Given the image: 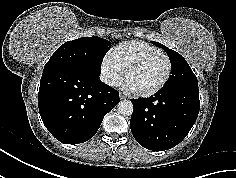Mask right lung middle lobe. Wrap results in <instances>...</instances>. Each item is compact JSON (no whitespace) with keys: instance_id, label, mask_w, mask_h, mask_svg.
<instances>
[{"instance_id":"1","label":"right lung middle lobe","mask_w":236,"mask_h":178,"mask_svg":"<svg viewBox=\"0 0 236 178\" xmlns=\"http://www.w3.org/2000/svg\"><path fill=\"white\" fill-rule=\"evenodd\" d=\"M109 49L108 40L95 36L68 41L54 52L44 69L68 66L100 74L103 58Z\"/></svg>"}]
</instances>
